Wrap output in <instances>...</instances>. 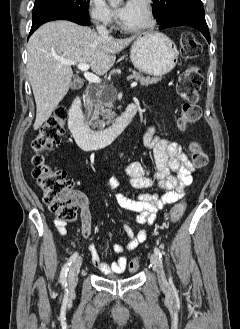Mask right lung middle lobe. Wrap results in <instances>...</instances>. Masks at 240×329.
<instances>
[{"label":"right lung middle lobe","instance_id":"dd1d6c3e","mask_svg":"<svg viewBox=\"0 0 240 329\" xmlns=\"http://www.w3.org/2000/svg\"><path fill=\"white\" fill-rule=\"evenodd\" d=\"M89 0H36L32 14L58 12L89 18Z\"/></svg>","mask_w":240,"mask_h":329}]
</instances>
